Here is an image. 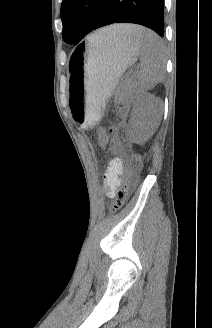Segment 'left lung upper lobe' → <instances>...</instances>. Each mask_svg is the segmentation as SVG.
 <instances>
[{"label": "left lung upper lobe", "mask_w": 212, "mask_h": 328, "mask_svg": "<svg viewBox=\"0 0 212 328\" xmlns=\"http://www.w3.org/2000/svg\"><path fill=\"white\" fill-rule=\"evenodd\" d=\"M104 0H63L61 20L63 39L68 44H78L93 30Z\"/></svg>", "instance_id": "1"}]
</instances>
